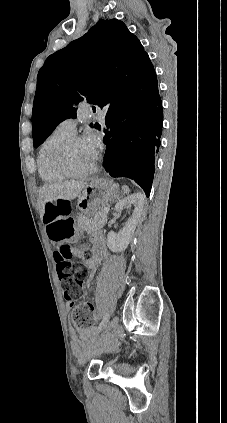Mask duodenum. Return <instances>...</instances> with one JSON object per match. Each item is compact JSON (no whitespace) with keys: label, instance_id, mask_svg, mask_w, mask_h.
I'll return each mask as SVG.
<instances>
[{"label":"duodenum","instance_id":"duodenum-1","mask_svg":"<svg viewBox=\"0 0 227 423\" xmlns=\"http://www.w3.org/2000/svg\"><path fill=\"white\" fill-rule=\"evenodd\" d=\"M95 249H96V253H98L100 255L105 254V252H106L105 244H104L103 241H98L95 244Z\"/></svg>","mask_w":227,"mask_h":423}]
</instances>
